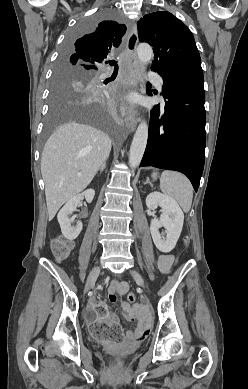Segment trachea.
<instances>
[{"mask_svg":"<svg viewBox=\"0 0 248 389\" xmlns=\"http://www.w3.org/2000/svg\"><path fill=\"white\" fill-rule=\"evenodd\" d=\"M109 64H110L111 66H114V73L117 74L118 69H119V66H118L117 61H115V60L109 61Z\"/></svg>","mask_w":248,"mask_h":389,"instance_id":"obj_1","label":"trachea"}]
</instances>
